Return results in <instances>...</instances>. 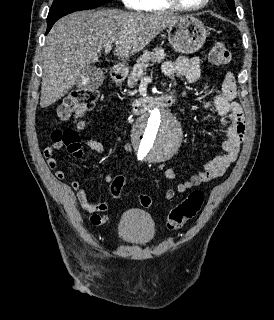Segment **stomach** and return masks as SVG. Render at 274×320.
Here are the masks:
<instances>
[{
  "mask_svg": "<svg viewBox=\"0 0 274 320\" xmlns=\"http://www.w3.org/2000/svg\"><path fill=\"white\" fill-rule=\"evenodd\" d=\"M168 36L175 52L194 54L202 48L208 34L204 24L192 14H188L168 26Z\"/></svg>",
  "mask_w": 274,
  "mask_h": 320,
  "instance_id": "stomach-1",
  "label": "stomach"
}]
</instances>
